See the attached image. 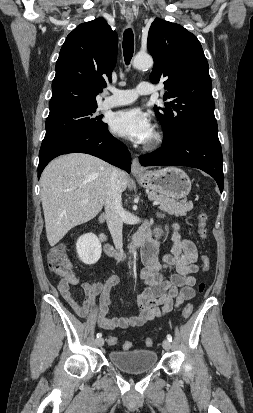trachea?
<instances>
[{"label":"trachea","mask_w":253,"mask_h":413,"mask_svg":"<svg viewBox=\"0 0 253 413\" xmlns=\"http://www.w3.org/2000/svg\"><path fill=\"white\" fill-rule=\"evenodd\" d=\"M134 52V35L131 28L124 31L123 35V53L125 63L128 65L131 61Z\"/></svg>","instance_id":"3493384b"}]
</instances>
